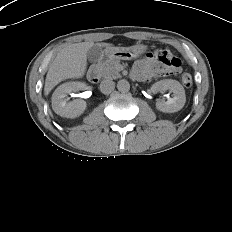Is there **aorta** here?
Returning a JSON list of instances; mask_svg holds the SVG:
<instances>
[{
  "instance_id": "762f6f07",
  "label": "aorta",
  "mask_w": 232,
  "mask_h": 232,
  "mask_svg": "<svg viewBox=\"0 0 232 232\" xmlns=\"http://www.w3.org/2000/svg\"><path fill=\"white\" fill-rule=\"evenodd\" d=\"M117 88L120 92H127L130 89V84L127 80L121 79L117 83Z\"/></svg>"
}]
</instances>
